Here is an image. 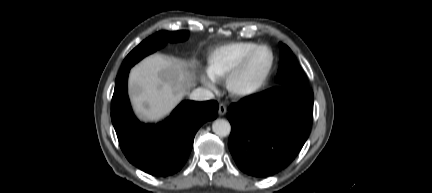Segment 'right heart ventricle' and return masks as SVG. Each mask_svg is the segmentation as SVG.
I'll return each mask as SVG.
<instances>
[{
  "label": "right heart ventricle",
  "instance_id": "right-heart-ventricle-1",
  "mask_svg": "<svg viewBox=\"0 0 432 193\" xmlns=\"http://www.w3.org/2000/svg\"><path fill=\"white\" fill-rule=\"evenodd\" d=\"M258 45L252 41H241L214 48L207 56L209 74L215 79L225 78Z\"/></svg>",
  "mask_w": 432,
  "mask_h": 193
}]
</instances>
